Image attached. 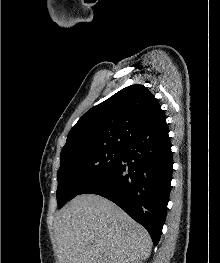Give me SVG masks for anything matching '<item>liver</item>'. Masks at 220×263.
Returning <instances> with one entry per match:
<instances>
[{
    "label": "liver",
    "mask_w": 220,
    "mask_h": 263,
    "mask_svg": "<svg viewBox=\"0 0 220 263\" xmlns=\"http://www.w3.org/2000/svg\"><path fill=\"white\" fill-rule=\"evenodd\" d=\"M59 263H130L150 256L149 233L113 202L83 194L55 216Z\"/></svg>",
    "instance_id": "liver-1"
}]
</instances>
